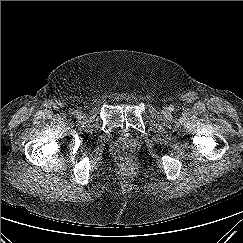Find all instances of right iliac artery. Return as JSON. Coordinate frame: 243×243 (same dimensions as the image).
Returning <instances> with one entry per match:
<instances>
[{
  "instance_id": "82829eb1",
  "label": "right iliac artery",
  "mask_w": 243,
  "mask_h": 243,
  "mask_svg": "<svg viewBox=\"0 0 243 243\" xmlns=\"http://www.w3.org/2000/svg\"><path fill=\"white\" fill-rule=\"evenodd\" d=\"M69 112H70V114H74V115L76 113V111L74 109H71Z\"/></svg>"
}]
</instances>
